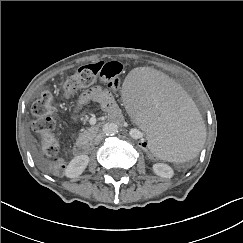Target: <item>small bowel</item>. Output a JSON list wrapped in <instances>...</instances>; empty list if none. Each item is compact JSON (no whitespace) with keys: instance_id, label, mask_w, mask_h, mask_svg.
I'll list each match as a JSON object with an SVG mask.
<instances>
[{"instance_id":"obj_1","label":"small bowel","mask_w":243,"mask_h":243,"mask_svg":"<svg viewBox=\"0 0 243 243\" xmlns=\"http://www.w3.org/2000/svg\"><path fill=\"white\" fill-rule=\"evenodd\" d=\"M90 102L99 103L108 112H115L117 105L113 94L101 86H94L86 90L77 100V106L82 107Z\"/></svg>"}]
</instances>
